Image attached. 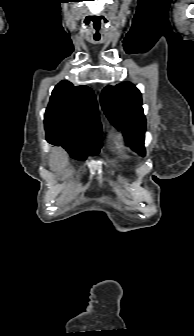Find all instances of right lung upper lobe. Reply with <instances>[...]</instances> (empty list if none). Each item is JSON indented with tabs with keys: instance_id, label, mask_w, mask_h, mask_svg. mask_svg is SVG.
Masks as SVG:
<instances>
[{
	"instance_id": "obj_1",
	"label": "right lung upper lobe",
	"mask_w": 194,
	"mask_h": 336,
	"mask_svg": "<svg viewBox=\"0 0 194 336\" xmlns=\"http://www.w3.org/2000/svg\"><path fill=\"white\" fill-rule=\"evenodd\" d=\"M47 141L59 138L101 140L102 127L93 91L61 81L53 90L45 113Z\"/></svg>"
}]
</instances>
